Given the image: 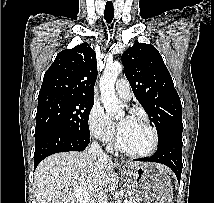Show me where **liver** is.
Instances as JSON below:
<instances>
[{"label":"liver","mask_w":214,"mask_h":203,"mask_svg":"<svg viewBox=\"0 0 214 203\" xmlns=\"http://www.w3.org/2000/svg\"><path fill=\"white\" fill-rule=\"evenodd\" d=\"M141 163L129 162L128 170ZM116 166L85 152H61L44 159L34 173L36 203H87L75 196L78 189H86L95 203L101 194L112 192L118 185L113 171Z\"/></svg>","instance_id":"liver-1"}]
</instances>
